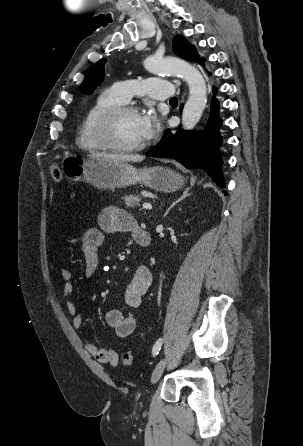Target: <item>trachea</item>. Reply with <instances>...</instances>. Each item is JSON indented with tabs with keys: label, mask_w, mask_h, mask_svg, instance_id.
<instances>
[{
	"label": "trachea",
	"mask_w": 303,
	"mask_h": 446,
	"mask_svg": "<svg viewBox=\"0 0 303 446\" xmlns=\"http://www.w3.org/2000/svg\"><path fill=\"white\" fill-rule=\"evenodd\" d=\"M169 102L170 103H178V99H177V97H173V98L170 99Z\"/></svg>",
	"instance_id": "obj_1"
}]
</instances>
